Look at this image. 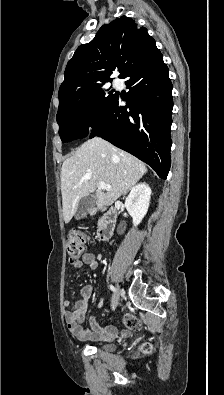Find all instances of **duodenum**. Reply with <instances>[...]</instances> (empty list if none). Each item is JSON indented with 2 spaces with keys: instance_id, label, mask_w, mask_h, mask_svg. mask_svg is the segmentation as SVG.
Instances as JSON below:
<instances>
[{
  "instance_id": "1",
  "label": "duodenum",
  "mask_w": 224,
  "mask_h": 395,
  "mask_svg": "<svg viewBox=\"0 0 224 395\" xmlns=\"http://www.w3.org/2000/svg\"><path fill=\"white\" fill-rule=\"evenodd\" d=\"M118 211L114 206L102 210V217L97 230L99 240H108L113 237Z\"/></svg>"
}]
</instances>
